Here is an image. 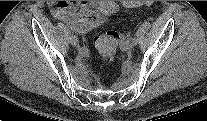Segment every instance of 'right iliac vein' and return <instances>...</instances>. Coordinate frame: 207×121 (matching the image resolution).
<instances>
[{"mask_svg":"<svg viewBox=\"0 0 207 121\" xmlns=\"http://www.w3.org/2000/svg\"><path fill=\"white\" fill-rule=\"evenodd\" d=\"M70 43H71L73 46H78V44H79L78 39H77L75 36H71V38H70ZM81 51H86V50H81Z\"/></svg>","mask_w":207,"mask_h":121,"instance_id":"63e3f726","label":"right iliac vein"}]
</instances>
